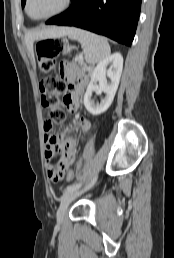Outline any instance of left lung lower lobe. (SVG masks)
I'll return each mask as SVG.
<instances>
[{"label": "left lung lower lobe", "mask_w": 174, "mask_h": 258, "mask_svg": "<svg viewBox=\"0 0 174 258\" xmlns=\"http://www.w3.org/2000/svg\"><path fill=\"white\" fill-rule=\"evenodd\" d=\"M142 0H72L68 10L46 24L75 26L131 46Z\"/></svg>", "instance_id": "0a47b994"}]
</instances>
